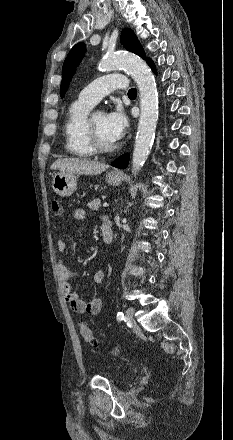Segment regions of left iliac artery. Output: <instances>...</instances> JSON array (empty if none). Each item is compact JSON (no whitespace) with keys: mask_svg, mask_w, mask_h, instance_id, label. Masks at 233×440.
I'll return each mask as SVG.
<instances>
[{"mask_svg":"<svg viewBox=\"0 0 233 440\" xmlns=\"http://www.w3.org/2000/svg\"><path fill=\"white\" fill-rule=\"evenodd\" d=\"M117 319H118L119 321L123 320V319H124V314H123L122 312H118V313H117Z\"/></svg>","mask_w":233,"mask_h":440,"instance_id":"left-iliac-artery-1","label":"left iliac artery"}]
</instances>
